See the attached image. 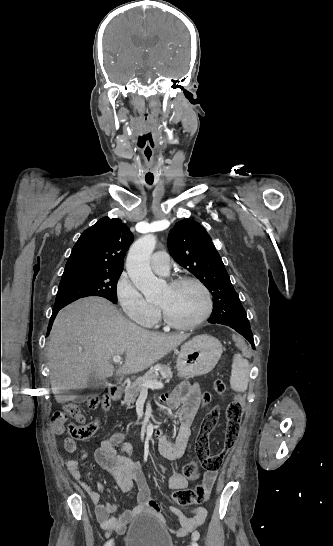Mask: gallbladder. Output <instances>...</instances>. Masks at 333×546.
<instances>
[{
  "mask_svg": "<svg viewBox=\"0 0 333 546\" xmlns=\"http://www.w3.org/2000/svg\"><path fill=\"white\" fill-rule=\"evenodd\" d=\"M107 387V382L105 380L99 379L94 373H91L88 377L87 385V395L97 393L104 390ZM85 396H75L73 400L77 403H81L86 399Z\"/></svg>",
  "mask_w": 333,
  "mask_h": 546,
  "instance_id": "obj_1",
  "label": "gallbladder"
}]
</instances>
